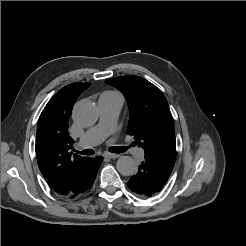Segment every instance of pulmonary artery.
<instances>
[{
  "mask_svg": "<svg viewBox=\"0 0 246 246\" xmlns=\"http://www.w3.org/2000/svg\"><path fill=\"white\" fill-rule=\"evenodd\" d=\"M123 99L116 93H103L98 99L99 122L88 129L79 141L81 147H91L102 142L114 129ZM136 160L144 157V151L136 148L131 151Z\"/></svg>",
  "mask_w": 246,
  "mask_h": 246,
  "instance_id": "1",
  "label": "pulmonary artery"
}]
</instances>
